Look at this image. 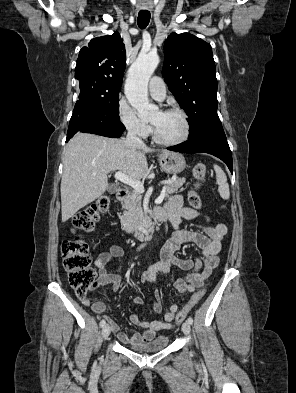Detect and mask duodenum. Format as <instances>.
Here are the masks:
<instances>
[{"instance_id": "obj_1", "label": "duodenum", "mask_w": 296, "mask_h": 393, "mask_svg": "<svg viewBox=\"0 0 296 393\" xmlns=\"http://www.w3.org/2000/svg\"><path fill=\"white\" fill-rule=\"evenodd\" d=\"M127 194L128 193L126 189H119L117 191L116 196L119 201H122L127 197ZM146 219H147L146 223L143 225V228L139 231V234H141L145 238H149L153 231V222L166 221L168 220V217L166 216V213L163 209L159 207H153L147 213Z\"/></svg>"}]
</instances>
